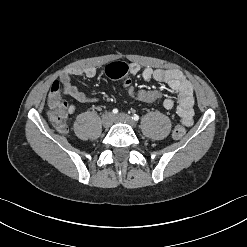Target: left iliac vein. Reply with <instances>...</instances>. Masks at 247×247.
<instances>
[{
	"label": "left iliac vein",
	"mask_w": 247,
	"mask_h": 247,
	"mask_svg": "<svg viewBox=\"0 0 247 247\" xmlns=\"http://www.w3.org/2000/svg\"><path fill=\"white\" fill-rule=\"evenodd\" d=\"M114 121L115 122H121V123H126L129 124L132 127H135L136 124L134 123V121L130 118L129 115L125 114V113H120L118 115H116L114 117Z\"/></svg>",
	"instance_id": "1"
}]
</instances>
